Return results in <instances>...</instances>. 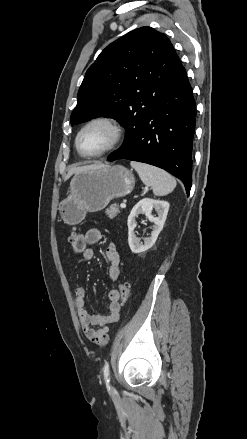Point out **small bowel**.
Instances as JSON below:
<instances>
[{
    "instance_id": "1",
    "label": "small bowel",
    "mask_w": 247,
    "mask_h": 439,
    "mask_svg": "<svg viewBox=\"0 0 247 439\" xmlns=\"http://www.w3.org/2000/svg\"><path fill=\"white\" fill-rule=\"evenodd\" d=\"M85 243L93 245L102 239V233L98 228H89L84 233ZM93 250L86 248L81 253L82 261H89L93 258ZM108 259V275L112 281L120 277V257L115 244L111 243L106 249ZM109 305L105 315H91L85 308V290L78 287L74 295V304L77 310L78 319L85 337L98 345H105L108 342V326L118 321L120 317V293L118 290H111L108 294Z\"/></svg>"
}]
</instances>
